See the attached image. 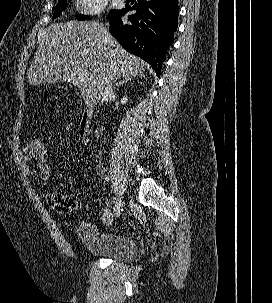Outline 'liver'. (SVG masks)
<instances>
[{"label": "liver", "mask_w": 272, "mask_h": 303, "mask_svg": "<svg viewBox=\"0 0 272 303\" xmlns=\"http://www.w3.org/2000/svg\"><path fill=\"white\" fill-rule=\"evenodd\" d=\"M147 64L128 53L96 21H69L52 24L46 29L29 67L30 85L77 80L85 74L89 80L81 83V97L89 106L97 103L104 91V79H130L143 75Z\"/></svg>", "instance_id": "6515ba94"}]
</instances>
